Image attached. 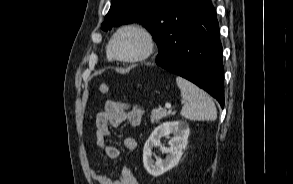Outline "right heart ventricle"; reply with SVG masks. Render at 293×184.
I'll return each instance as SVG.
<instances>
[{
	"instance_id": "1",
	"label": "right heart ventricle",
	"mask_w": 293,
	"mask_h": 184,
	"mask_svg": "<svg viewBox=\"0 0 293 184\" xmlns=\"http://www.w3.org/2000/svg\"><path fill=\"white\" fill-rule=\"evenodd\" d=\"M107 57L109 58V59H112V57H111V55H110V53H109V50L107 49Z\"/></svg>"
}]
</instances>
